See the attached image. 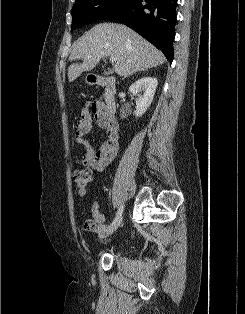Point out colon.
Wrapping results in <instances>:
<instances>
[{
	"mask_svg": "<svg viewBox=\"0 0 245 314\" xmlns=\"http://www.w3.org/2000/svg\"><path fill=\"white\" fill-rule=\"evenodd\" d=\"M92 179V172L89 168L83 167L76 170L73 174V181L81 195L85 194ZM97 222L89 219L84 223V228L88 231L96 229Z\"/></svg>",
	"mask_w": 245,
	"mask_h": 314,
	"instance_id": "1",
	"label": "colon"
}]
</instances>
